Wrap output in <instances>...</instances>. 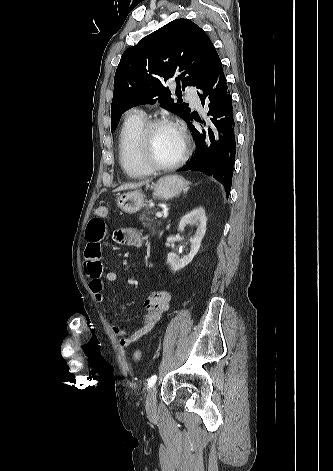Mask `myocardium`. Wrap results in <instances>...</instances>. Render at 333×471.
I'll return each mask as SVG.
<instances>
[{
	"instance_id": "myocardium-1",
	"label": "myocardium",
	"mask_w": 333,
	"mask_h": 471,
	"mask_svg": "<svg viewBox=\"0 0 333 471\" xmlns=\"http://www.w3.org/2000/svg\"><path fill=\"white\" fill-rule=\"evenodd\" d=\"M160 126L173 127L181 137L182 149L179 156L171 163L162 164L152 156L151 138L153 132ZM190 150L189 139L184 129L174 120L169 118H156L147 121L143 126L138 138V155L141 162L152 172L170 171L182 165L188 157Z\"/></svg>"
}]
</instances>
